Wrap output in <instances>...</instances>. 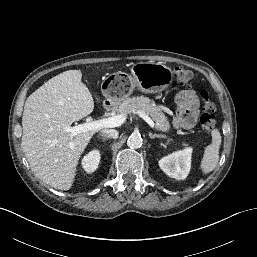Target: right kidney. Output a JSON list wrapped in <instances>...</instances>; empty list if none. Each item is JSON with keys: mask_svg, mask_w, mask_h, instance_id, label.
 I'll return each mask as SVG.
<instances>
[{"mask_svg": "<svg viewBox=\"0 0 257 257\" xmlns=\"http://www.w3.org/2000/svg\"><path fill=\"white\" fill-rule=\"evenodd\" d=\"M99 161V150H92L82 159V167L87 173H92L97 169Z\"/></svg>", "mask_w": 257, "mask_h": 257, "instance_id": "ca27d5eb", "label": "right kidney"}]
</instances>
